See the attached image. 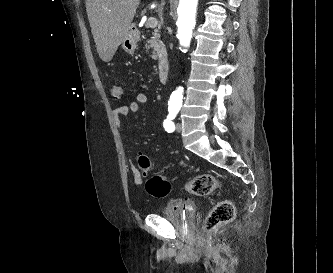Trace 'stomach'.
Instances as JSON below:
<instances>
[{
	"label": "stomach",
	"instance_id": "0dacf381",
	"mask_svg": "<svg viewBox=\"0 0 333 273\" xmlns=\"http://www.w3.org/2000/svg\"><path fill=\"white\" fill-rule=\"evenodd\" d=\"M138 36L134 30H129V33L122 41V48L129 54L134 53L137 47Z\"/></svg>",
	"mask_w": 333,
	"mask_h": 273
}]
</instances>
